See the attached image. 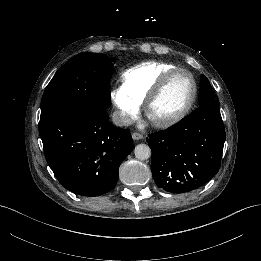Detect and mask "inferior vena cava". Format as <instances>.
<instances>
[{
    "label": "inferior vena cava",
    "instance_id": "inferior-vena-cava-1",
    "mask_svg": "<svg viewBox=\"0 0 261 261\" xmlns=\"http://www.w3.org/2000/svg\"><path fill=\"white\" fill-rule=\"evenodd\" d=\"M113 123L118 126H127L130 124V119L121 111H115L112 116Z\"/></svg>",
    "mask_w": 261,
    "mask_h": 261
}]
</instances>
